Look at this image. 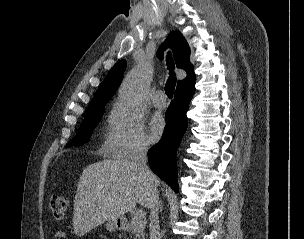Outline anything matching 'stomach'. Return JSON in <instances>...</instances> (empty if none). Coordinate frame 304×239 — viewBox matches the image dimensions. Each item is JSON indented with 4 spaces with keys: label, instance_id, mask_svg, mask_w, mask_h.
<instances>
[{
    "label": "stomach",
    "instance_id": "obj_1",
    "mask_svg": "<svg viewBox=\"0 0 304 239\" xmlns=\"http://www.w3.org/2000/svg\"><path fill=\"white\" fill-rule=\"evenodd\" d=\"M120 224V219H115V220H109L106 224V229L109 232H114L119 228Z\"/></svg>",
    "mask_w": 304,
    "mask_h": 239
}]
</instances>
